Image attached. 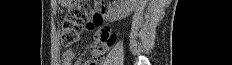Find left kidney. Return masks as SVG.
I'll return each mask as SVG.
<instances>
[{
    "mask_svg": "<svg viewBox=\"0 0 232 65\" xmlns=\"http://www.w3.org/2000/svg\"><path fill=\"white\" fill-rule=\"evenodd\" d=\"M138 0H116L114 8L108 14L110 21H117L129 16L136 8Z\"/></svg>",
    "mask_w": 232,
    "mask_h": 65,
    "instance_id": "5707ae66",
    "label": "left kidney"
}]
</instances>
